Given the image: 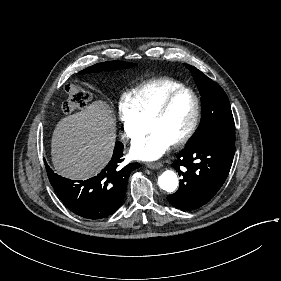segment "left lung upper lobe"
<instances>
[{
	"mask_svg": "<svg viewBox=\"0 0 281 281\" xmlns=\"http://www.w3.org/2000/svg\"><path fill=\"white\" fill-rule=\"evenodd\" d=\"M184 65L191 71L202 102L201 122L188 144L205 138L235 144V124L226 93L200 70Z\"/></svg>",
	"mask_w": 281,
	"mask_h": 281,
	"instance_id": "5c2ea615",
	"label": "left lung upper lobe"
}]
</instances>
